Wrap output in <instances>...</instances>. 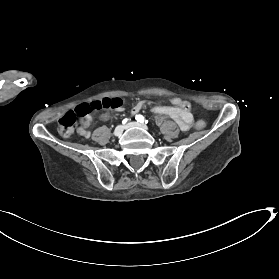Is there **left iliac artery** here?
I'll return each instance as SVG.
<instances>
[{"label":"left iliac artery","instance_id":"44dca946","mask_svg":"<svg viewBox=\"0 0 279 279\" xmlns=\"http://www.w3.org/2000/svg\"><path fill=\"white\" fill-rule=\"evenodd\" d=\"M136 120L140 123H148V120H146L142 115H136Z\"/></svg>","mask_w":279,"mask_h":279}]
</instances>
